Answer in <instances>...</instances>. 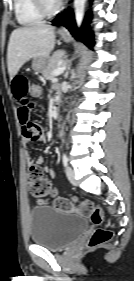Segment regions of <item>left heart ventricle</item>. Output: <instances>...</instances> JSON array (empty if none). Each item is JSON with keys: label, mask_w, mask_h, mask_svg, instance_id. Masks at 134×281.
Instances as JSON below:
<instances>
[{"label": "left heart ventricle", "mask_w": 134, "mask_h": 281, "mask_svg": "<svg viewBox=\"0 0 134 281\" xmlns=\"http://www.w3.org/2000/svg\"><path fill=\"white\" fill-rule=\"evenodd\" d=\"M50 5H54L57 3V0H46Z\"/></svg>", "instance_id": "1"}]
</instances>
